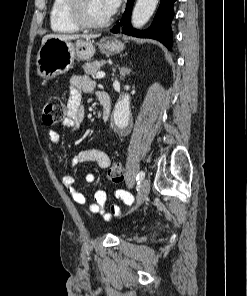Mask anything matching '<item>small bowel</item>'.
Returning <instances> with one entry per match:
<instances>
[{"label":"small bowel","instance_id":"1","mask_svg":"<svg viewBox=\"0 0 247 296\" xmlns=\"http://www.w3.org/2000/svg\"><path fill=\"white\" fill-rule=\"evenodd\" d=\"M95 88L94 83L87 77L75 75L70 80L69 98L67 101V117L63 121V126L70 132H75L81 126L84 119V108L82 106V94L92 92ZM49 139L55 145L60 144L59 132L55 129L49 131ZM93 162L101 168H107L110 165L109 157L99 149L87 148L72 155L69 162L68 169L62 176V183L73 200L80 204L85 205L87 198L82 194L76 186L75 179L69 173V169L75 165ZM84 181L88 184L95 182V175L88 173L84 176ZM115 197L123 201L127 205L133 203V197L125 190L119 189L115 192ZM107 194L102 189H97L94 193V202L89 205V209L93 214H97L104 219H109L112 214H119L120 209L117 205H111L106 208Z\"/></svg>","mask_w":247,"mask_h":296}]
</instances>
